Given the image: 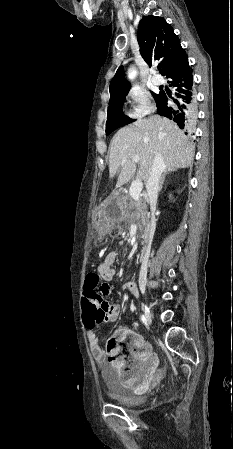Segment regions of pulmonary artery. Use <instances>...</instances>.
<instances>
[{
  "mask_svg": "<svg viewBox=\"0 0 233 449\" xmlns=\"http://www.w3.org/2000/svg\"><path fill=\"white\" fill-rule=\"evenodd\" d=\"M152 81L155 85H162L164 83L163 78L156 73L153 75Z\"/></svg>",
  "mask_w": 233,
  "mask_h": 449,
  "instance_id": "obj_1",
  "label": "pulmonary artery"
}]
</instances>
